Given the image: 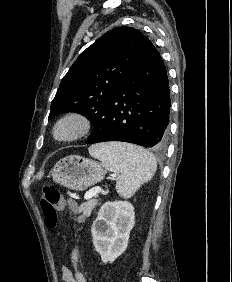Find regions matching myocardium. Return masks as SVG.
<instances>
[{"label":"myocardium","instance_id":"f54148a6","mask_svg":"<svg viewBox=\"0 0 232 282\" xmlns=\"http://www.w3.org/2000/svg\"><path fill=\"white\" fill-rule=\"evenodd\" d=\"M91 119L82 112H68L59 117L51 129L54 141L70 144L84 139L92 130Z\"/></svg>","mask_w":232,"mask_h":282}]
</instances>
